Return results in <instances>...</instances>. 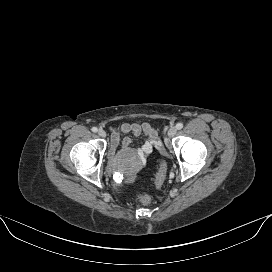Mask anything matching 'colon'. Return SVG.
Segmentation results:
<instances>
[{
	"label": "colon",
	"mask_w": 272,
	"mask_h": 272,
	"mask_svg": "<svg viewBox=\"0 0 272 272\" xmlns=\"http://www.w3.org/2000/svg\"><path fill=\"white\" fill-rule=\"evenodd\" d=\"M166 172H167V165H166L165 161H161L157 175H156V180H155L156 186L159 187L163 184L165 177H166ZM139 201L143 205H148L151 203L152 197L148 193H143L139 196Z\"/></svg>",
	"instance_id": "obj_1"
}]
</instances>
